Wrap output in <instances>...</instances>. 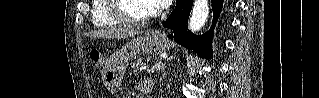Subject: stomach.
Segmentation results:
<instances>
[{
    "label": "stomach",
    "instance_id": "stomach-1",
    "mask_svg": "<svg viewBox=\"0 0 319 98\" xmlns=\"http://www.w3.org/2000/svg\"><path fill=\"white\" fill-rule=\"evenodd\" d=\"M167 46L166 38L155 31H147L130 40L115 52L113 62L102 73L103 82L108 91L111 93L118 91L130 60L141 54L159 55L165 52Z\"/></svg>",
    "mask_w": 319,
    "mask_h": 98
}]
</instances>
